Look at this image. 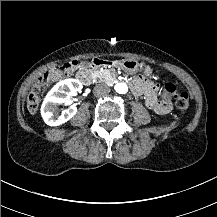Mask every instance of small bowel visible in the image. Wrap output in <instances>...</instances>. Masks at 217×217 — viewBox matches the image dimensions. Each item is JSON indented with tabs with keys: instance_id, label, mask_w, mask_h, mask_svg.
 Segmentation results:
<instances>
[{
	"instance_id": "c3829d8e",
	"label": "small bowel",
	"mask_w": 217,
	"mask_h": 217,
	"mask_svg": "<svg viewBox=\"0 0 217 217\" xmlns=\"http://www.w3.org/2000/svg\"><path fill=\"white\" fill-rule=\"evenodd\" d=\"M139 88L133 91L135 96L145 95L146 106L159 115H165L172 109L170 98L158 99L156 84L149 80L138 79Z\"/></svg>"
}]
</instances>
